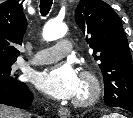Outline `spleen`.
Instances as JSON below:
<instances>
[{
    "mask_svg": "<svg viewBox=\"0 0 133 118\" xmlns=\"http://www.w3.org/2000/svg\"><path fill=\"white\" fill-rule=\"evenodd\" d=\"M104 118H113V117H108V116H106V117H104Z\"/></svg>",
    "mask_w": 133,
    "mask_h": 118,
    "instance_id": "1",
    "label": "spleen"
}]
</instances>
